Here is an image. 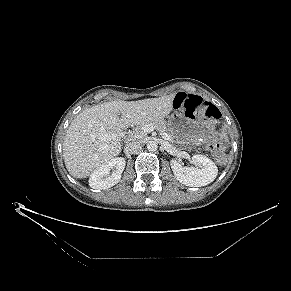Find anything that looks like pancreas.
I'll return each mask as SVG.
<instances>
[{"label":"pancreas","instance_id":"cf45deb5","mask_svg":"<svg viewBox=\"0 0 291 291\" xmlns=\"http://www.w3.org/2000/svg\"><path fill=\"white\" fill-rule=\"evenodd\" d=\"M147 124H152L158 132H164V133L169 134V129L167 128L165 121L163 119H158V120H152V121H146V122L140 123L137 126L136 130L133 132L135 138L139 139L144 136V133L141 130Z\"/></svg>","mask_w":291,"mask_h":291}]
</instances>
